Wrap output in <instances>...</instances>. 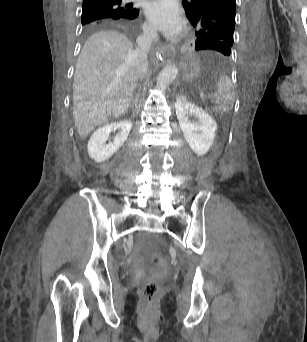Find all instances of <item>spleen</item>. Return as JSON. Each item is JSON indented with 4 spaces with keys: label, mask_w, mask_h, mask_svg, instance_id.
<instances>
[{
    "label": "spleen",
    "mask_w": 307,
    "mask_h": 342,
    "mask_svg": "<svg viewBox=\"0 0 307 342\" xmlns=\"http://www.w3.org/2000/svg\"><path fill=\"white\" fill-rule=\"evenodd\" d=\"M212 96H215L218 114H233L234 88L229 76L221 74L216 84V92Z\"/></svg>",
    "instance_id": "spleen-1"
}]
</instances>
